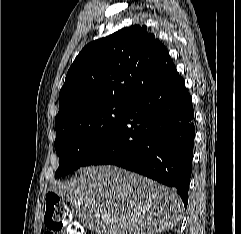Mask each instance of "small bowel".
I'll list each match as a JSON object with an SVG mask.
<instances>
[{"mask_svg": "<svg viewBox=\"0 0 241 234\" xmlns=\"http://www.w3.org/2000/svg\"><path fill=\"white\" fill-rule=\"evenodd\" d=\"M47 234H53V233H51V232H48Z\"/></svg>", "mask_w": 241, "mask_h": 234, "instance_id": "c3829d8e", "label": "small bowel"}]
</instances>
